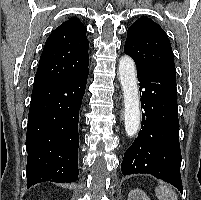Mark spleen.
<instances>
[{"instance_id": "1", "label": "spleen", "mask_w": 201, "mask_h": 200, "mask_svg": "<svg viewBox=\"0 0 201 200\" xmlns=\"http://www.w3.org/2000/svg\"><path fill=\"white\" fill-rule=\"evenodd\" d=\"M158 200H178L175 191L166 185H160L155 189Z\"/></svg>"}]
</instances>
